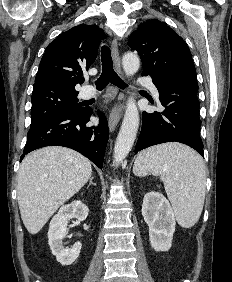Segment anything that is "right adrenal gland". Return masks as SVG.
Wrapping results in <instances>:
<instances>
[{"label":"right adrenal gland","instance_id":"right-adrenal-gland-1","mask_svg":"<svg viewBox=\"0 0 232 282\" xmlns=\"http://www.w3.org/2000/svg\"><path fill=\"white\" fill-rule=\"evenodd\" d=\"M92 180H93V177L90 178L89 184H88V186H87V189L90 187V185H94V186L96 185L95 183H93Z\"/></svg>","mask_w":232,"mask_h":282}]
</instances>
